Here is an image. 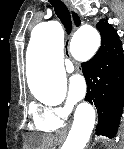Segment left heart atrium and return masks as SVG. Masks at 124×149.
I'll return each mask as SVG.
<instances>
[{
  "label": "left heart atrium",
  "instance_id": "obj_1",
  "mask_svg": "<svg viewBox=\"0 0 124 149\" xmlns=\"http://www.w3.org/2000/svg\"><path fill=\"white\" fill-rule=\"evenodd\" d=\"M85 93V80L79 75L73 76L69 81V102L77 103L81 101Z\"/></svg>",
  "mask_w": 124,
  "mask_h": 149
}]
</instances>
